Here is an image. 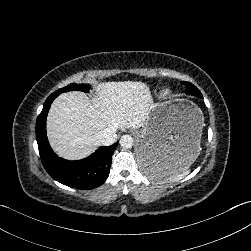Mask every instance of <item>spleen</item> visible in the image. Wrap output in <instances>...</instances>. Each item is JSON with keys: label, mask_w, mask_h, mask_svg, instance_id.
Instances as JSON below:
<instances>
[{"label": "spleen", "mask_w": 251, "mask_h": 251, "mask_svg": "<svg viewBox=\"0 0 251 251\" xmlns=\"http://www.w3.org/2000/svg\"><path fill=\"white\" fill-rule=\"evenodd\" d=\"M190 165L191 164H185L177 173L172 174L165 171L163 167L154 163L149 166L148 177L153 179H161L163 182L179 181L181 178L189 174Z\"/></svg>", "instance_id": "3e777b00"}]
</instances>
